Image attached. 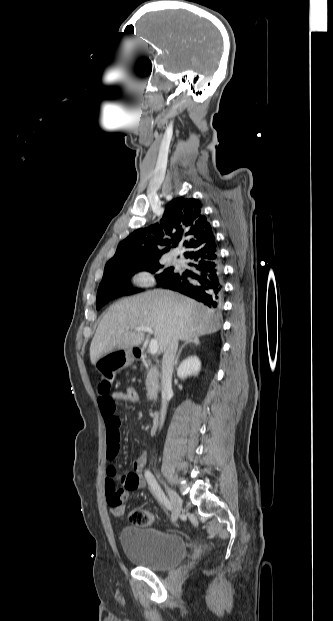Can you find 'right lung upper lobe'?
Masks as SVG:
<instances>
[{
  "instance_id": "1",
  "label": "right lung upper lobe",
  "mask_w": 333,
  "mask_h": 621,
  "mask_svg": "<svg viewBox=\"0 0 333 621\" xmlns=\"http://www.w3.org/2000/svg\"><path fill=\"white\" fill-rule=\"evenodd\" d=\"M202 204L197 199L176 198L165 208L160 223L140 228L119 243L107 265L146 261L160 258L170 246L183 244L185 254L206 249L215 244V236ZM166 246L163 250L161 246Z\"/></svg>"
}]
</instances>
